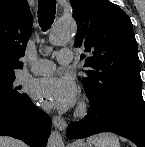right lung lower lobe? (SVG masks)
<instances>
[{"instance_id": "right-lung-lower-lobe-1", "label": "right lung lower lobe", "mask_w": 145, "mask_h": 147, "mask_svg": "<svg viewBox=\"0 0 145 147\" xmlns=\"http://www.w3.org/2000/svg\"><path fill=\"white\" fill-rule=\"evenodd\" d=\"M49 135V116L29 97L18 106L0 107V136L20 139L30 147H45Z\"/></svg>"}]
</instances>
